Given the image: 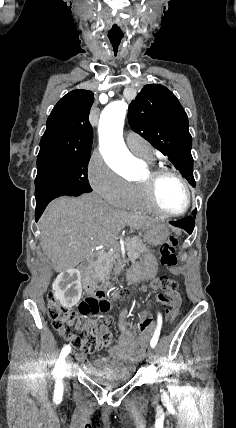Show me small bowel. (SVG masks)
<instances>
[{
    "label": "small bowel",
    "instance_id": "1",
    "mask_svg": "<svg viewBox=\"0 0 236 428\" xmlns=\"http://www.w3.org/2000/svg\"><path fill=\"white\" fill-rule=\"evenodd\" d=\"M110 323L111 320L108 319L105 323V326ZM118 326L121 334L117 344L109 349L108 360L110 359L128 362L141 360L144 356L145 347L147 346V343L153 332V325L151 322L143 327H141L139 324H132L128 319L127 311L123 310L119 315ZM77 359L86 368H93V365L89 363L86 354L83 351L77 354ZM106 361L107 359H104L100 361V364H103Z\"/></svg>",
    "mask_w": 236,
    "mask_h": 428
}]
</instances>
